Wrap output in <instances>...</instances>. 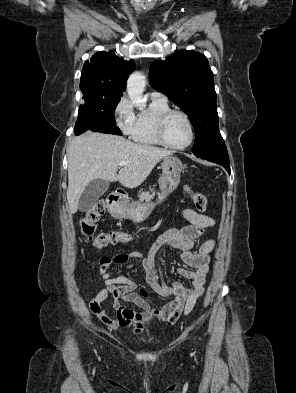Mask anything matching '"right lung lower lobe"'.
I'll list each match as a JSON object with an SVG mask.
<instances>
[{
  "label": "right lung lower lobe",
  "instance_id": "obj_1",
  "mask_svg": "<svg viewBox=\"0 0 296 393\" xmlns=\"http://www.w3.org/2000/svg\"><path fill=\"white\" fill-rule=\"evenodd\" d=\"M87 130L102 132L107 134L122 135L120 129L116 126H110L94 120L77 121L74 128V133L80 135Z\"/></svg>",
  "mask_w": 296,
  "mask_h": 393
}]
</instances>
